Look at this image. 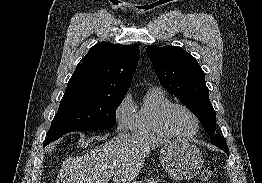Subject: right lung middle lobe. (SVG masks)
<instances>
[{
    "mask_svg": "<svg viewBox=\"0 0 262 183\" xmlns=\"http://www.w3.org/2000/svg\"><path fill=\"white\" fill-rule=\"evenodd\" d=\"M123 98L92 93L64 94L44 143L49 144L73 131L112 128Z\"/></svg>",
    "mask_w": 262,
    "mask_h": 183,
    "instance_id": "dd1d6c3e",
    "label": "right lung middle lobe"
}]
</instances>
